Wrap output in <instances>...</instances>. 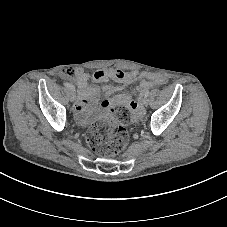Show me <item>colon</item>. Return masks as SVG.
I'll return each mask as SVG.
<instances>
[{"instance_id": "1", "label": "colon", "mask_w": 227, "mask_h": 227, "mask_svg": "<svg viewBox=\"0 0 227 227\" xmlns=\"http://www.w3.org/2000/svg\"><path fill=\"white\" fill-rule=\"evenodd\" d=\"M75 72L73 68L64 70V74L69 78H73ZM120 117L122 122L127 120L126 113H121ZM122 122L107 118L88 129L87 142L95 153L103 157H112L127 145L129 135Z\"/></svg>"}]
</instances>
